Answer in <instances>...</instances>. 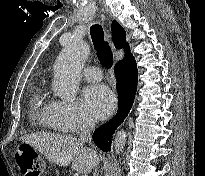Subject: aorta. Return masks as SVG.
Masks as SVG:
<instances>
[{
    "instance_id": "aorta-1",
    "label": "aorta",
    "mask_w": 205,
    "mask_h": 176,
    "mask_svg": "<svg viewBox=\"0 0 205 176\" xmlns=\"http://www.w3.org/2000/svg\"><path fill=\"white\" fill-rule=\"evenodd\" d=\"M90 53L89 46L83 41H71L59 54L54 66L53 90L64 100H72L78 90L82 69ZM126 132L118 131L114 141V150L122 152L126 143Z\"/></svg>"
}]
</instances>
